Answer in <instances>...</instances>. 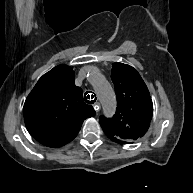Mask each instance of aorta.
I'll return each mask as SVG.
<instances>
[{"label": "aorta", "mask_w": 193, "mask_h": 193, "mask_svg": "<svg viewBox=\"0 0 193 193\" xmlns=\"http://www.w3.org/2000/svg\"><path fill=\"white\" fill-rule=\"evenodd\" d=\"M90 82L103 106L105 114L112 116L116 109V97L111 84L99 73L93 74Z\"/></svg>", "instance_id": "aorta-1"}]
</instances>
